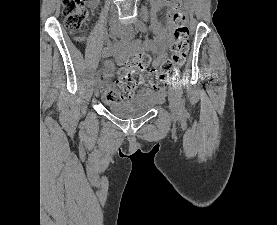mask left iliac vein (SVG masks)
I'll list each match as a JSON object with an SVG mask.
<instances>
[{
    "instance_id": "1",
    "label": "left iliac vein",
    "mask_w": 277,
    "mask_h": 225,
    "mask_svg": "<svg viewBox=\"0 0 277 225\" xmlns=\"http://www.w3.org/2000/svg\"><path fill=\"white\" fill-rule=\"evenodd\" d=\"M125 34L134 36L136 34V30L131 26L127 27L125 29ZM168 99H169V106L173 116L178 117L181 113V104H180V97L175 86H171L169 88Z\"/></svg>"
}]
</instances>
